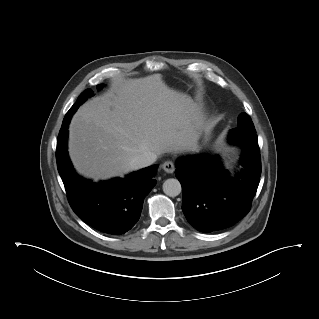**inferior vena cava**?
Instances as JSON below:
<instances>
[{
  "mask_svg": "<svg viewBox=\"0 0 319 319\" xmlns=\"http://www.w3.org/2000/svg\"><path fill=\"white\" fill-rule=\"evenodd\" d=\"M157 156L154 154L140 155L132 159L129 163L131 170H138L152 165L156 161Z\"/></svg>",
  "mask_w": 319,
  "mask_h": 319,
  "instance_id": "obj_1",
  "label": "inferior vena cava"
}]
</instances>
